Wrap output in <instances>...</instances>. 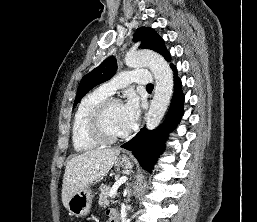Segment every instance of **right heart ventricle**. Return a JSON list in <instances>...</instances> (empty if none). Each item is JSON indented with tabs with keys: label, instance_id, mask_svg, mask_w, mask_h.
Returning <instances> with one entry per match:
<instances>
[{
	"label": "right heart ventricle",
	"instance_id": "obj_1",
	"mask_svg": "<svg viewBox=\"0 0 257 222\" xmlns=\"http://www.w3.org/2000/svg\"><path fill=\"white\" fill-rule=\"evenodd\" d=\"M106 98L108 94L101 89H96L87 94L79 103L71 127L72 144L76 151H89L100 145L89 134L87 122L92 110Z\"/></svg>",
	"mask_w": 257,
	"mask_h": 222
}]
</instances>
